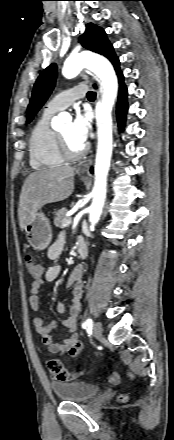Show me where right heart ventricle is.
Returning a JSON list of instances; mask_svg holds the SVG:
<instances>
[{"mask_svg":"<svg viewBox=\"0 0 174 440\" xmlns=\"http://www.w3.org/2000/svg\"><path fill=\"white\" fill-rule=\"evenodd\" d=\"M52 114L44 110L29 135L30 165L34 169L55 168L65 161L59 150L57 132L49 125Z\"/></svg>","mask_w":174,"mask_h":440,"instance_id":"1","label":"right heart ventricle"}]
</instances>
